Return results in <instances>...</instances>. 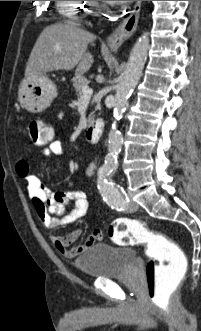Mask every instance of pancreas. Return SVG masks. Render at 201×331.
<instances>
[{
    "instance_id": "pancreas-1",
    "label": "pancreas",
    "mask_w": 201,
    "mask_h": 331,
    "mask_svg": "<svg viewBox=\"0 0 201 331\" xmlns=\"http://www.w3.org/2000/svg\"><path fill=\"white\" fill-rule=\"evenodd\" d=\"M72 81L76 94L81 97L83 95V88L88 85L89 81L83 76H76ZM89 119L92 120L93 116H90Z\"/></svg>"
}]
</instances>
